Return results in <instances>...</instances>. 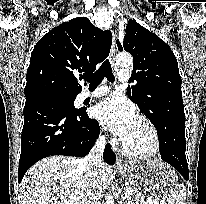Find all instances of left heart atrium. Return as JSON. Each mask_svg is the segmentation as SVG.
Returning <instances> with one entry per match:
<instances>
[{
  "label": "left heart atrium",
  "mask_w": 206,
  "mask_h": 204,
  "mask_svg": "<svg viewBox=\"0 0 206 204\" xmlns=\"http://www.w3.org/2000/svg\"><path fill=\"white\" fill-rule=\"evenodd\" d=\"M97 120L121 140L129 135L137 114L134 106L123 95L113 94L95 108Z\"/></svg>",
  "instance_id": "39dd6f15"
}]
</instances>
